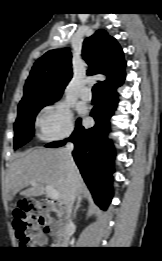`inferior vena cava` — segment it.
Segmentation results:
<instances>
[{"mask_svg": "<svg viewBox=\"0 0 162 261\" xmlns=\"http://www.w3.org/2000/svg\"><path fill=\"white\" fill-rule=\"evenodd\" d=\"M74 148V145L72 143H68L65 148V152L67 155V167L69 168L68 173V191L66 195V200L64 202V214H65V236L64 240L65 243L68 242V232L70 227L72 226V219H71V213H72V207L73 203L75 201L76 197V165L74 163L73 157H72V150Z\"/></svg>", "mask_w": 162, "mask_h": 261, "instance_id": "inferior-vena-cava-1", "label": "inferior vena cava"}]
</instances>
